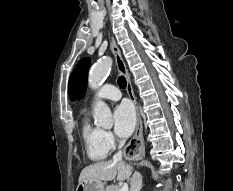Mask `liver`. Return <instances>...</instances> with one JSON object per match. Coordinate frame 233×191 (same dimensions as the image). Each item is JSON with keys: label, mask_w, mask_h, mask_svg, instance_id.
Instances as JSON below:
<instances>
[{"label": "liver", "mask_w": 233, "mask_h": 191, "mask_svg": "<svg viewBox=\"0 0 233 191\" xmlns=\"http://www.w3.org/2000/svg\"><path fill=\"white\" fill-rule=\"evenodd\" d=\"M132 168L125 162L112 160L98 162L85 167L79 176V183L86 181H122L131 176Z\"/></svg>", "instance_id": "liver-1"}]
</instances>
